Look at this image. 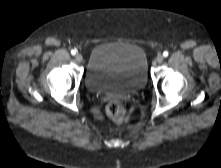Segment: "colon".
I'll list each match as a JSON object with an SVG mask.
<instances>
[{
  "label": "colon",
  "instance_id": "5ec220e1",
  "mask_svg": "<svg viewBox=\"0 0 221 168\" xmlns=\"http://www.w3.org/2000/svg\"><path fill=\"white\" fill-rule=\"evenodd\" d=\"M107 113L117 123H122L127 117L125 105L118 100H111L107 105Z\"/></svg>",
  "mask_w": 221,
  "mask_h": 168
}]
</instances>
